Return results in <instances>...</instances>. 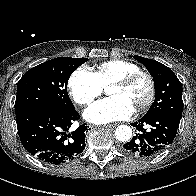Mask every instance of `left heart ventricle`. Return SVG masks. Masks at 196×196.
<instances>
[{"label":"left heart ventricle","instance_id":"1","mask_svg":"<svg viewBox=\"0 0 196 196\" xmlns=\"http://www.w3.org/2000/svg\"><path fill=\"white\" fill-rule=\"evenodd\" d=\"M148 83L146 79L140 78L128 87L109 86L107 94L112 96H120L128 100L134 108L141 104L148 95Z\"/></svg>","mask_w":196,"mask_h":196}]
</instances>
